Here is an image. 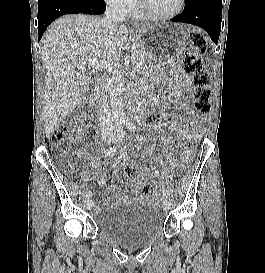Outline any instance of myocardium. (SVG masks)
I'll use <instances>...</instances> for the list:
<instances>
[{
  "instance_id": "myocardium-1",
  "label": "myocardium",
  "mask_w": 265,
  "mask_h": 273,
  "mask_svg": "<svg viewBox=\"0 0 265 273\" xmlns=\"http://www.w3.org/2000/svg\"><path fill=\"white\" fill-rule=\"evenodd\" d=\"M185 3H186V0H180L178 7L173 12L168 13V14H163V15L154 14V13H151L150 11H148L145 6L144 0H139V7H140V11H141L142 16L145 19L153 20V21H166V20H171V19L177 17L183 11V9L185 7Z\"/></svg>"
}]
</instances>
